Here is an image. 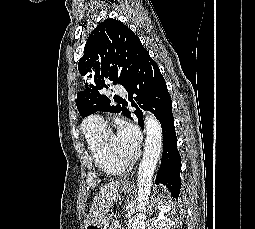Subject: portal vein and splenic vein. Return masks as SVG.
Returning <instances> with one entry per match:
<instances>
[{
	"label": "portal vein and splenic vein",
	"mask_w": 255,
	"mask_h": 229,
	"mask_svg": "<svg viewBox=\"0 0 255 229\" xmlns=\"http://www.w3.org/2000/svg\"><path fill=\"white\" fill-rule=\"evenodd\" d=\"M121 227V225L118 223V224H116V229L117 228H120Z\"/></svg>",
	"instance_id": "obj_1"
}]
</instances>
